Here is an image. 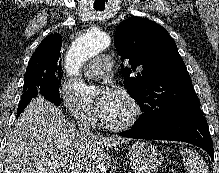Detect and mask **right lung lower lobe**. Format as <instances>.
<instances>
[{"label": "right lung lower lobe", "mask_w": 219, "mask_h": 173, "mask_svg": "<svg viewBox=\"0 0 219 173\" xmlns=\"http://www.w3.org/2000/svg\"><path fill=\"white\" fill-rule=\"evenodd\" d=\"M36 94H27L21 96V101L18 105L17 109V117L21 114V112L24 110V108L29 104V102L32 100V98L36 97Z\"/></svg>", "instance_id": "98d812e1"}]
</instances>
